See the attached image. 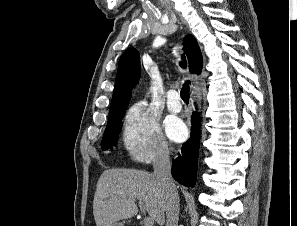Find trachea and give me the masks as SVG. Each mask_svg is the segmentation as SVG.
Wrapping results in <instances>:
<instances>
[{"label": "trachea", "mask_w": 297, "mask_h": 226, "mask_svg": "<svg viewBox=\"0 0 297 226\" xmlns=\"http://www.w3.org/2000/svg\"><path fill=\"white\" fill-rule=\"evenodd\" d=\"M182 59H183V61L180 62V66L182 68H186V64L187 63L185 61V56L184 55L182 56ZM189 83H190L189 81H186L183 84V87H182L181 92H180L181 98L183 99V101L185 103H188L189 102V96H190V94H189V91H190Z\"/></svg>", "instance_id": "obj_1"}]
</instances>
